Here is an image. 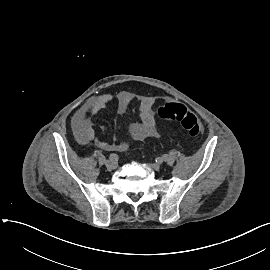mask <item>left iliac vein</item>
<instances>
[{
    "mask_svg": "<svg viewBox=\"0 0 270 270\" xmlns=\"http://www.w3.org/2000/svg\"><path fill=\"white\" fill-rule=\"evenodd\" d=\"M149 166H150V168H152L153 170H156V171L161 168L160 164H158V163L150 164Z\"/></svg>",
    "mask_w": 270,
    "mask_h": 270,
    "instance_id": "4c4485c4",
    "label": "left iliac vein"
}]
</instances>
